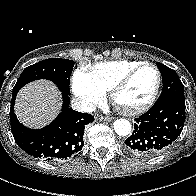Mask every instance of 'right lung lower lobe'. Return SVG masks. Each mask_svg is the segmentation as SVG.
I'll return each instance as SVG.
<instances>
[{"label":"right lung lower lobe","mask_w":196,"mask_h":196,"mask_svg":"<svg viewBox=\"0 0 196 196\" xmlns=\"http://www.w3.org/2000/svg\"><path fill=\"white\" fill-rule=\"evenodd\" d=\"M17 93L12 94L9 114L11 131L18 146L29 155L45 161L77 156L84 145L85 126L93 122L94 117L71 109L69 95L62 92L63 108L56 119L44 128L29 129L18 121L14 113Z\"/></svg>","instance_id":"obj_1"}]
</instances>
